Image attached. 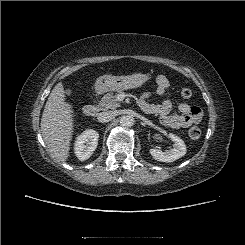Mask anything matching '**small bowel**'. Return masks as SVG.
<instances>
[{
    "label": "small bowel",
    "instance_id": "c3829d8e",
    "mask_svg": "<svg viewBox=\"0 0 245 245\" xmlns=\"http://www.w3.org/2000/svg\"><path fill=\"white\" fill-rule=\"evenodd\" d=\"M155 81L156 88L154 94L166 96L167 98L160 104H150L146 102V98L151 96V92L145 93L140 101L144 111L158 114L161 123L169 128H187L201 121L203 116L202 110L197 106H191L187 103H180L178 105L179 114L171 113L172 102L169 98V80L165 75L159 74L156 76Z\"/></svg>",
    "mask_w": 245,
    "mask_h": 245
}]
</instances>
